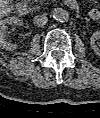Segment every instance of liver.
Instances as JSON below:
<instances>
[{"label":"liver","mask_w":100,"mask_h":118,"mask_svg":"<svg viewBox=\"0 0 100 118\" xmlns=\"http://www.w3.org/2000/svg\"><path fill=\"white\" fill-rule=\"evenodd\" d=\"M1 11L4 12V11H8V8H7V1L6 0H1Z\"/></svg>","instance_id":"liver-1"}]
</instances>
